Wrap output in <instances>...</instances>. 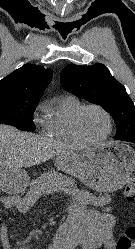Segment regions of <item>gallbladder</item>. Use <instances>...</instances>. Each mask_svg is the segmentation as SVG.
<instances>
[{
  "instance_id": "bac80fb5",
  "label": "gallbladder",
  "mask_w": 135,
  "mask_h": 249,
  "mask_svg": "<svg viewBox=\"0 0 135 249\" xmlns=\"http://www.w3.org/2000/svg\"><path fill=\"white\" fill-rule=\"evenodd\" d=\"M2 184H4L5 182L4 181H1Z\"/></svg>"
}]
</instances>
